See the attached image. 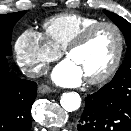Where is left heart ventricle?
<instances>
[{
    "instance_id": "obj_1",
    "label": "left heart ventricle",
    "mask_w": 131,
    "mask_h": 131,
    "mask_svg": "<svg viewBox=\"0 0 131 131\" xmlns=\"http://www.w3.org/2000/svg\"><path fill=\"white\" fill-rule=\"evenodd\" d=\"M118 37L109 27L96 31L89 41L73 51L68 59L81 71L83 78L95 77L105 71L116 55Z\"/></svg>"
}]
</instances>
